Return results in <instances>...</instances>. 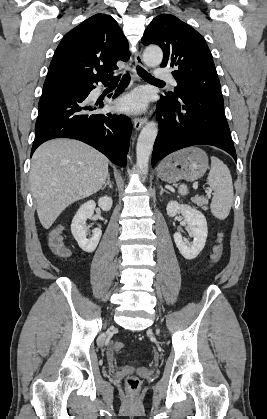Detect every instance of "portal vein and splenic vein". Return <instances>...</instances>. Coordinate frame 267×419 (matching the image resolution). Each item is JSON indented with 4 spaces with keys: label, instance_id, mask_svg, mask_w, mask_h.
<instances>
[{
    "label": "portal vein and splenic vein",
    "instance_id": "1",
    "mask_svg": "<svg viewBox=\"0 0 267 419\" xmlns=\"http://www.w3.org/2000/svg\"><path fill=\"white\" fill-rule=\"evenodd\" d=\"M197 187H198V186H197V184H195V185H194V188L196 189ZM207 193H208V194H211V190H208V191H207Z\"/></svg>",
    "mask_w": 267,
    "mask_h": 419
}]
</instances>
